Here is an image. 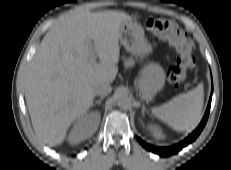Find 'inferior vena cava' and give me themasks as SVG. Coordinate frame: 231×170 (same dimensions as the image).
I'll return each instance as SVG.
<instances>
[{"mask_svg":"<svg viewBox=\"0 0 231 170\" xmlns=\"http://www.w3.org/2000/svg\"><path fill=\"white\" fill-rule=\"evenodd\" d=\"M93 90L95 95L104 97L112 91V87L108 82L100 81L95 84Z\"/></svg>","mask_w":231,"mask_h":170,"instance_id":"1","label":"inferior vena cava"}]
</instances>
